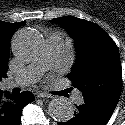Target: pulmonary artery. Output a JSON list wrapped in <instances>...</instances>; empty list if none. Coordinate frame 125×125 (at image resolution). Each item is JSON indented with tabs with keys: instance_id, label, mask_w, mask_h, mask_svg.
Wrapping results in <instances>:
<instances>
[{
	"instance_id": "obj_1",
	"label": "pulmonary artery",
	"mask_w": 125,
	"mask_h": 125,
	"mask_svg": "<svg viewBox=\"0 0 125 125\" xmlns=\"http://www.w3.org/2000/svg\"><path fill=\"white\" fill-rule=\"evenodd\" d=\"M66 49L67 44L62 33L55 32L47 35L44 48L38 58L8 81L7 85L25 87L39 81L46 71L57 72L63 65ZM74 101L76 104H82V94L78 92Z\"/></svg>"
}]
</instances>
